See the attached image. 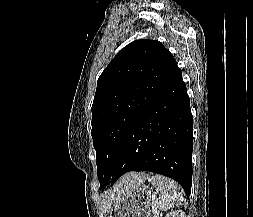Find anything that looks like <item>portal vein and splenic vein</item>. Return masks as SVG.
Masks as SVG:
<instances>
[{
    "mask_svg": "<svg viewBox=\"0 0 253 217\" xmlns=\"http://www.w3.org/2000/svg\"><path fill=\"white\" fill-rule=\"evenodd\" d=\"M153 213H154L155 216L158 215V211H154Z\"/></svg>",
    "mask_w": 253,
    "mask_h": 217,
    "instance_id": "obj_1",
    "label": "portal vein and splenic vein"
}]
</instances>
